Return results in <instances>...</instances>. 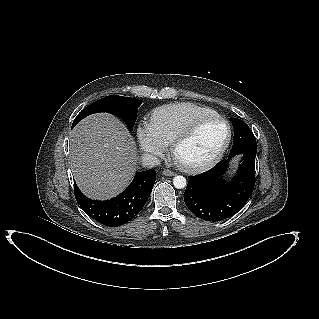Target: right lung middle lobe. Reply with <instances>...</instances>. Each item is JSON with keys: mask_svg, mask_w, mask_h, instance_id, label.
I'll list each match as a JSON object with an SVG mask.
<instances>
[{"mask_svg": "<svg viewBox=\"0 0 319 319\" xmlns=\"http://www.w3.org/2000/svg\"><path fill=\"white\" fill-rule=\"evenodd\" d=\"M141 103L142 101L135 98L118 95L106 96L84 108L75 118L72 127L90 114L109 112L122 118L127 124L129 130L132 131L137 118V109Z\"/></svg>", "mask_w": 319, "mask_h": 319, "instance_id": "obj_1", "label": "right lung middle lobe"}]
</instances>
